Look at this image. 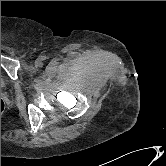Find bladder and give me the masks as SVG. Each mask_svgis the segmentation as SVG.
<instances>
[{
	"label": "bladder",
	"instance_id": "31cf9c89",
	"mask_svg": "<svg viewBox=\"0 0 166 166\" xmlns=\"http://www.w3.org/2000/svg\"><path fill=\"white\" fill-rule=\"evenodd\" d=\"M4 87H5V81H4V79L2 78V76H1V89L4 88Z\"/></svg>",
	"mask_w": 166,
	"mask_h": 166
}]
</instances>
